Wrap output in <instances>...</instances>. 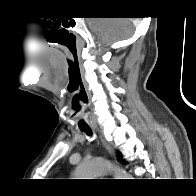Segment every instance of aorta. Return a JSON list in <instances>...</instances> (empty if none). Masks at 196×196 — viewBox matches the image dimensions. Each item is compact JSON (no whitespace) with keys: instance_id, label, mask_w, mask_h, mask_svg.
Here are the masks:
<instances>
[{"instance_id":"762f6f07","label":"aorta","mask_w":196,"mask_h":196,"mask_svg":"<svg viewBox=\"0 0 196 196\" xmlns=\"http://www.w3.org/2000/svg\"><path fill=\"white\" fill-rule=\"evenodd\" d=\"M108 172H113L116 179H130V175L122 168L111 164L109 161L104 159L85 160L81 162L76 170V179H96Z\"/></svg>"}]
</instances>
